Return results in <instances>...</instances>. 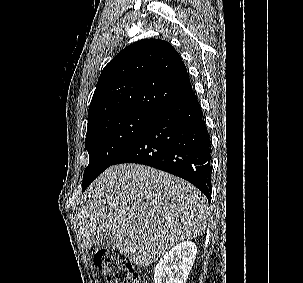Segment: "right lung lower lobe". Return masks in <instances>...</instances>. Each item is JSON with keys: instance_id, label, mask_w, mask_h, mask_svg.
Instances as JSON below:
<instances>
[{"instance_id": "obj_1", "label": "right lung lower lobe", "mask_w": 303, "mask_h": 283, "mask_svg": "<svg viewBox=\"0 0 303 283\" xmlns=\"http://www.w3.org/2000/svg\"><path fill=\"white\" fill-rule=\"evenodd\" d=\"M148 165L179 176L211 198L210 138L195 92L159 111L113 162Z\"/></svg>"}]
</instances>
